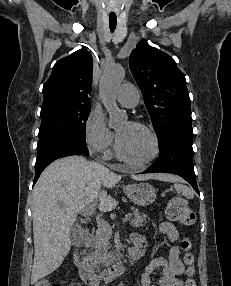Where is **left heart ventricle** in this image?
I'll return each instance as SVG.
<instances>
[{
	"mask_svg": "<svg viewBox=\"0 0 231 286\" xmlns=\"http://www.w3.org/2000/svg\"><path fill=\"white\" fill-rule=\"evenodd\" d=\"M117 138L122 152L133 161H144L153 153L151 136L128 122L117 128Z\"/></svg>",
	"mask_w": 231,
	"mask_h": 286,
	"instance_id": "1",
	"label": "left heart ventricle"
}]
</instances>
